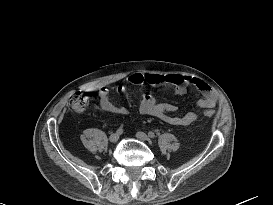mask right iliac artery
<instances>
[{
  "instance_id": "obj_1",
  "label": "right iliac artery",
  "mask_w": 273,
  "mask_h": 205,
  "mask_svg": "<svg viewBox=\"0 0 273 205\" xmlns=\"http://www.w3.org/2000/svg\"><path fill=\"white\" fill-rule=\"evenodd\" d=\"M116 132L119 133V134H122L123 133V128L122 127L118 128Z\"/></svg>"
}]
</instances>
